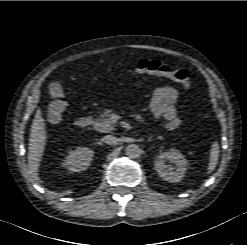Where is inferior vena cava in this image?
Segmentation results:
<instances>
[{
  "mask_svg": "<svg viewBox=\"0 0 247 245\" xmlns=\"http://www.w3.org/2000/svg\"><path fill=\"white\" fill-rule=\"evenodd\" d=\"M102 140L109 145H116L118 143V139L112 135H106Z\"/></svg>",
  "mask_w": 247,
  "mask_h": 245,
  "instance_id": "1",
  "label": "inferior vena cava"
}]
</instances>
